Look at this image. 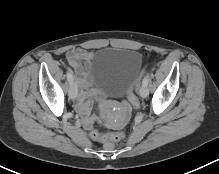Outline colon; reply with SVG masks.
<instances>
[{
  "instance_id": "colon-1",
  "label": "colon",
  "mask_w": 219,
  "mask_h": 174,
  "mask_svg": "<svg viewBox=\"0 0 219 174\" xmlns=\"http://www.w3.org/2000/svg\"><path fill=\"white\" fill-rule=\"evenodd\" d=\"M136 86L137 81L132 85L128 92V101L135 109L139 108L140 105L136 95ZM90 136L93 140L103 142L108 149H112L114 143L121 141L125 137V134L123 132L103 134L97 130H93L90 132Z\"/></svg>"
}]
</instances>
